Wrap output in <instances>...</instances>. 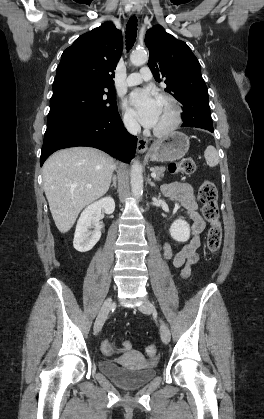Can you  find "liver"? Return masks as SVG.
Returning <instances> with one entry per match:
<instances>
[{"label": "liver", "instance_id": "obj_1", "mask_svg": "<svg viewBox=\"0 0 264 419\" xmlns=\"http://www.w3.org/2000/svg\"><path fill=\"white\" fill-rule=\"evenodd\" d=\"M113 159L101 150L73 147L59 150L43 165V186L56 227L68 232L80 211L109 189Z\"/></svg>", "mask_w": 264, "mask_h": 419}]
</instances>
